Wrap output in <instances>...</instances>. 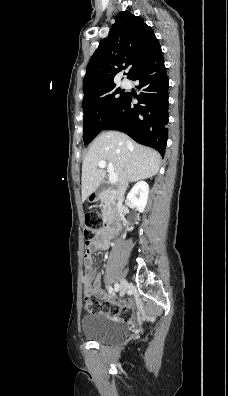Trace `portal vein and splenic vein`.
Masks as SVG:
<instances>
[{
  "label": "portal vein and splenic vein",
  "instance_id": "18ae733b",
  "mask_svg": "<svg viewBox=\"0 0 228 396\" xmlns=\"http://www.w3.org/2000/svg\"><path fill=\"white\" fill-rule=\"evenodd\" d=\"M99 168H105L106 166L108 167V173H109V182L112 184H115L118 181V175L114 172V166L112 163H108L105 160H101L98 162Z\"/></svg>",
  "mask_w": 228,
  "mask_h": 396
}]
</instances>
